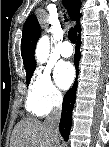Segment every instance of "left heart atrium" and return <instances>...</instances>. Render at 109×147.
I'll use <instances>...</instances> for the list:
<instances>
[{
	"mask_svg": "<svg viewBox=\"0 0 109 147\" xmlns=\"http://www.w3.org/2000/svg\"><path fill=\"white\" fill-rule=\"evenodd\" d=\"M54 77L57 84L63 88H68L74 80V68L70 63H60L56 66Z\"/></svg>",
	"mask_w": 109,
	"mask_h": 147,
	"instance_id": "left-heart-atrium-1",
	"label": "left heart atrium"
}]
</instances>
